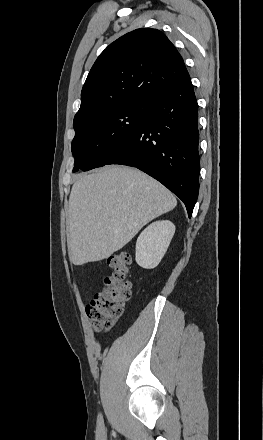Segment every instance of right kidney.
Returning a JSON list of instances; mask_svg holds the SVG:
<instances>
[{
  "label": "right kidney",
  "mask_w": 263,
  "mask_h": 440,
  "mask_svg": "<svg viewBox=\"0 0 263 440\" xmlns=\"http://www.w3.org/2000/svg\"><path fill=\"white\" fill-rule=\"evenodd\" d=\"M175 233V225L168 221H156L146 227L136 242L135 260L145 269L155 268L163 258Z\"/></svg>",
  "instance_id": "ca27d5eb"
}]
</instances>
